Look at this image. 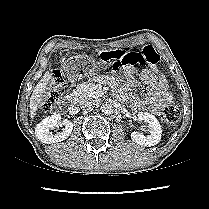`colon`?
Returning <instances> with one entry per match:
<instances>
[{"label":"colon","instance_id":"colon-1","mask_svg":"<svg viewBox=\"0 0 209 209\" xmlns=\"http://www.w3.org/2000/svg\"><path fill=\"white\" fill-rule=\"evenodd\" d=\"M100 58L111 65L113 70L126 69L128 66L148 64L156 66L160 61V56L154 47L144 46L140 51L117 50L112 52L102 51ZM65 87V79L59 70L53 71L50 88L41 100V107L49 110L57 104ZM167 125H175L180 119V110L176 106H168L163 115Z\"/></svg>","mask_w":209,"mask_h":209}]
</instances>
